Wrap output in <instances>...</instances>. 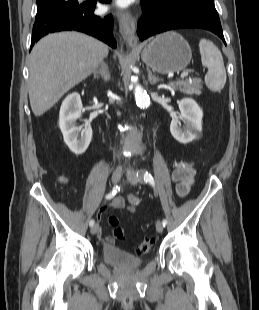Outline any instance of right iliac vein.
<instances>
[{"instance_id": "63e3f726", "label": "right iliac vein", "mask_w": 259, "mask_h": 310, "mask_svg": "<svg viewBox=\"0 0 259 310\" xmlns=\"http://www.w3.org/2000/svg\"><path fill=\"white\" fill-rule=\"evenodd\" d=\"M121 176H122V167L121 166H118L115 168V170L113 171L112 173V176H111V180L114 184L118 183L119 180L121 179ZM99 229V225L98 224H95L94 226L91 227V234L92 235H95L97 233Z\"/></svg>"}]
</instances>
